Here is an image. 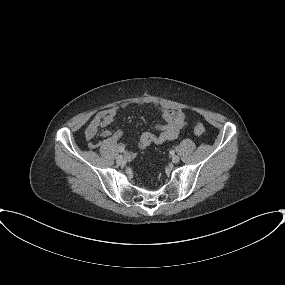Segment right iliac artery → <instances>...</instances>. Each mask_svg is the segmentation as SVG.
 Listing matches in <instances>:
<instances>
[{"instance_id":"1","label":"right iliac artery","mask_w":285,"mask_h":285,"mask_svg":"<svg viewBox=\"0 0 285 285\" xmlns=\"http://www.w3.org/2000/svg\"><path fill=\"white\" fill-rule=\"evenodd\" d=\"M119 152H121V153L124 152V149H119Z\"/></svg>"}]
</instances>
